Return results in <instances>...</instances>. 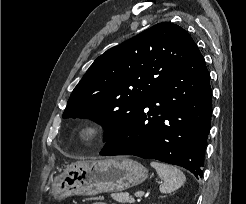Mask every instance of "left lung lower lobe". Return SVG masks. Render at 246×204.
<instances>
[{
	"mask_svg": "<svg viewBox=\"0 0 246 204\" xmlns=\"http://www.w3.org/2000/svg\"><path fill=\"white\" fill-rule=\"evenodd\" d=\"M210 75L198 48L139 106L101 155H135L179 165L202 177L211 128Z\"/></svg>",
	"mask_w": 246,
	"mask_h": 204,
	"instance_id": "obj_1",
	"label": "left lung lower lobe"
}]
</instances>
